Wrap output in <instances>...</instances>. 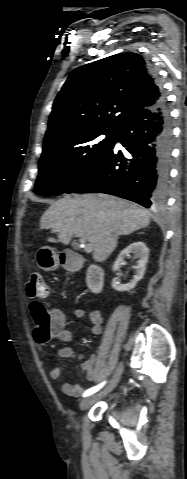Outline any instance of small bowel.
I'll use <instances>...</instances> for the list:
<instances>
[{
    "label": "small bowel",
    "mask_w": 187,
    "mask_h": 479,
    "mask_svg": "<svg viewBox=\"0 0 187 479\" xmlns=\"http://www.w3.org/2000/svg\"><path fill=\"white\" fill-rule=\"evenodd\" d=\"M75 317L85 320L90 323L91 333L98 335L102 331L103 317L100 311L93 310L86 312L84 309L75 308L73 311ZM51 314V336L53 339L64 344L58 349V355L66 359H76L81 361L80 373L85 375L90 382H94L98 377V371L95 367V355L85 359L82 353L76 352L72 347L68 346L72 340V333L65 328L66 315L62 309L53 308L50 310ZM61 367L53 365L49 369V376L51 379H59L61 376ZM84 388L82 385L75 383H64L62 385V392L70 397H79Z\"/></svg>",
    "instance_id": "c3829d8e"
}]
</instances>
